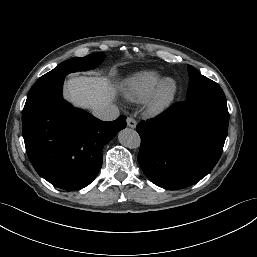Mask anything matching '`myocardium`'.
Wrapping results in <instances>:
<instances>
[{
	"mask_svg": "<svg viewBox=\"0 0 257 257\" xmlns=\"http://www.w3.org/2000/svg\"><path fill=\"white\" fill-rule=\"evenodd\" d=\"M177 91L178 85L173 78L163 79L148 102V112L152 115H157L166 111L174 102Z\"/></svg>",
	"mask_w": 257,
	"mask_h": 257,
	"instance_id": "1",
	"label": "myocardium"
}]
</instances>
